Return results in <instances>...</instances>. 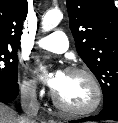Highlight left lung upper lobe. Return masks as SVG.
<instances>
[{
    "label": "left lung upper lobe",
    "instance_id": "1",
    "mask_svg": "<svg viewBox=\"0 0 118 123\" xmlns=\"http://www.w3.org/2000/svg\"><path fill=\"white\" fill-rule=\"evenodd\" d=\"M66 5L77 52L109 107L118 102V9L114 0H67Z\"/></svg>",
    "mask_w": 118,
    "mask_h": 123
}]
</instances>
